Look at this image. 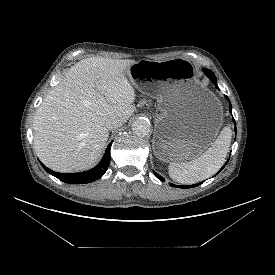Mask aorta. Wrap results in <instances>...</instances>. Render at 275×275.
<instances>
[{
	"mask_svg": "<svg viewBox=\"0 0 275 275\" xmlns=\"http://www.w3.org/2000/svg\"><path fill=\"white\" fill-rule=\"evenodd\" d=\"M132 130L135 135L144 137L149 134L151 125L148 120L139 118L133 122Z\"/></svg>",
	"mask_w": 275,
	"mask_h": 275,
	"instance_id": "aorta-1",
	"label": "aorta"
}]
</instances>
